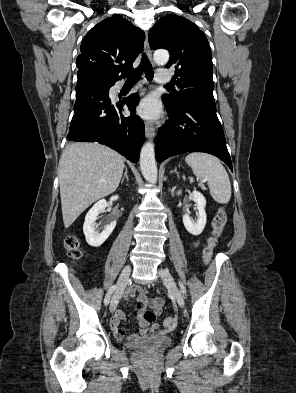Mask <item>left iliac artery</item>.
Instances as JSON below:
<instances>
[{
	"label": "left iliac artery",
	"instance_id": "44dca946",
	"mask_svg": "<svg viewBox=\"0 0 296 393\" xmlns=\"http://www.w3.org/2000/svg\"><path fill=\"white\" fill-rule=\"evenodd\" d=\"M178 284H179V287H180V289H181V292L186 296L187 291H186L185 285H184L183 282H181V281H179Z\"/></svg>",
	"mask_w": 296,
	"mask_h": 393
}]
</instances>
